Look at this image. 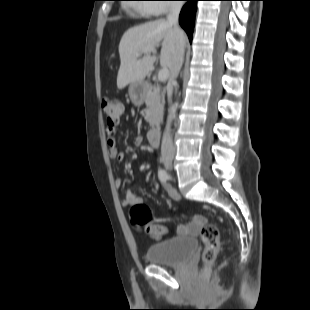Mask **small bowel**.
<instances>
[{"label": "small bowel", "instance_id": "small-bowel-1", "mask_svg": "<svg viewBox=\"0 0 310 310\" xmlns=\"http://www.w3.org/2000/svg\"><path fill=\"white\" fill-rule=\"evenodd\" d=\"M108 145H109V155L112 159L122 162L125 159L124 153L118 147L116 143V134L117 128L116 126H108ZM133 144L136 148H141L143 146V138L141 136H135L133 138ZM115 185L117 187L121 186V179L117 178L115 180ZM164 190L167 196L171 200H179L180 196L171 186L165 185ZM141 201V198L137 196L132 191H128L124 198L122 199V205L125 207L133 206ZM206 219L201 215H196L193 220L189 224L180 225L177 228V233L182 236H187L196 232V230L204 223ZM146 232L153 237L154 239H161L167 233V227L163 224H150L146 226Z\"/></svg>", "mask_w": 310, "mask_h": 310}]
</instances>
